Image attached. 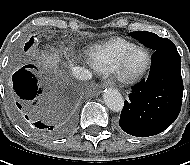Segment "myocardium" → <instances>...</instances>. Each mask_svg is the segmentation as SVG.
Masks as SVG:
<instances>
[{"label":"myocardium","instance_id":"1","mask_svg":"<svg viewBox=\"0 0 190 165\" xmlns=\"http://www.w3.org/2000/svg\"><path fill=\"white\" fill-rule=\"evenodd\" d=\"M138 51H144L146 53L147 56L146 64L139 71L130 72L128 70L129 59L133 56V54H135ZM151 64H152V57L150 51L146 47L136 46L131 50H129L127 53H125L124 56L121 58L118 68L116 70V74L121 82L133 83L140 80L148 72V70L151 67Z\"/></svg>","mask_w":190,"mask_h":165}]
</instances>
